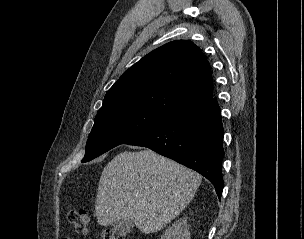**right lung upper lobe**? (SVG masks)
Wrapping results in <instances>:
<instances>
[{"instance_id":"obj_1","label":"right lung upper lobe","mask_w":304,"mask_h":239,"mask_svg":"<svg viewBox=\"0 0 304 239\" xmlns=\"http://www.w3.org/2000/svg\"><path fill=\"white\" fill-rule=\"evenodd\" d=\"M213 96L208 61L190 41L169 42L124 72L108 90L97 115L142 108L173 117Z\"/></svg>"}]
</instances>
